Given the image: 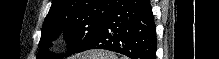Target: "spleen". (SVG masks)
<instances>
[{
	"instance_id": "3e777b00",
	"label": "spleen",
	"mask_w": 219,
	"mask_h": 59,
	"mask_svg": "<svg viewBox=\"0 0 219 59\" xmlns=\"http://www.w3.org/2000/svg\"><path fill=\"white\" fill-rule=\"evenodd\" d=\"M87 57L90 56V59H108L107 56H105L104 54H99L98 56H93V53H88L86 54ZM99 57V58H98Z\"/></svg>"
}]
</instances>
